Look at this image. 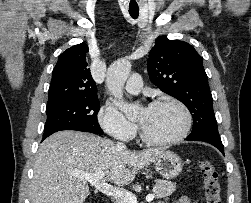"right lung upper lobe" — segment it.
I'll return each mask as SVG.
<instances>
[{"label":"right lung upper lobe","instance_id":"1","mask_svg":"<svg viewBox=\"0 0 251 203\" xmlns=\"http://www.w3.org/2000/svg\"><path fill=\"white\" fill-rule=\"evenodd\" d=\"M88 46L81 43L64 51L52 72L47 107L97 98L96 83L87 68Z\"/></svg>","mask_w":251,"mask_h":203}]
</instances>
